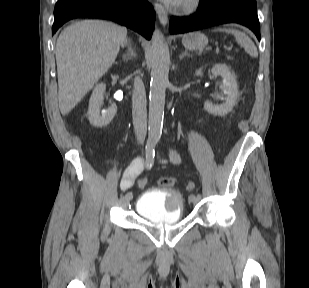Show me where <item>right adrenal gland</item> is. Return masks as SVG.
Segmentation results:
<instances>
[{
    "label": "right adrenal gland",
    "instance_id": "right-adrenal-gland-1",
    "mask_svg": "<svg viewBox=\"0 0 309 288\" xmlns=\"http://www.w3.org/2000/svg\"><path fill=\"white\" fill-rule=\"evenodd\" d=\"M122 57L124 62H127L128 60H131L136 57L135 50L132 47L130 40L128 41V51L124 53Z\"/></svg>",
    "mask_w": 309,
    "mask_h": 288
}]
</instances>
